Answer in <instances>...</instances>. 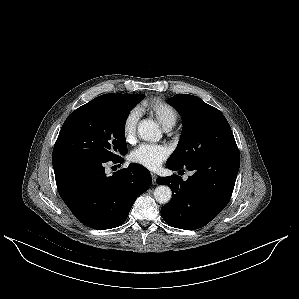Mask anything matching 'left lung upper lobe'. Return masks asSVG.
Here are the masks:
<instances>
[{
  "instance_id": "left-lung-upper-lobe-1",
  "label": "left lung upper lobe",
  "mask_w": 299,
  "mask_h": 299,
  "mask_svg": "<svg viewBox=\"0 0 299 299\" xmlns=\"http://www.w3.org/2000/svg\"><path fill=\"white\" fill-rule=\"evenodd\" d=\"M183 120L179 143L167 161L186 166L213 153L237 147L224 115L197 96L178 94L169 99Z\"/></svg>"
}]
</instances>
